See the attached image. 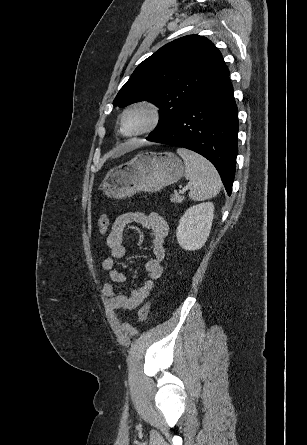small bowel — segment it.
Returning <instances> with one entry per match:
<instances>
[{
    "mask_svg": "<svg viewBox=\"0 0 307 445\" xmlns=\"http://www.w3.org/2000/svg\"><path fill=\"white\" fill-rule=\"evenodd\" d=\"M137 223L151 232V249L153 257L145 263L148 274L144 284L132 290L129 294L116 291L113 284L105 282L102 293L107 298L108 306L113 310L129 311L141 305L163 274V260L165 259V238L168 234V225L165 219L157 212L144 213L141 211L127 212L118 216L111 226L106 238V247L110 256L103 260L102 268L108 272L112 283L121 284L126 281L124 273L117 268V262L126 254L124 233L126 228Z\"/></svg>",
    "mask_w": 307,
    "mask_h": 445,
    "instance_id": "small-bowel-1",
    "label": "small bowel"
}]
</instances>
